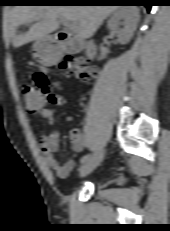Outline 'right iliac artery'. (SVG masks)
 Here are the masks:
<instances>
[{"instance_id":"1","label":"right iliac artery","mask_w":170,"mask_h":231,"mask_svg":"<svg viewBox=\"0 0 170 231\" xmlns=\"http://www.w3.org/2000/svg\"><path fill=\"white\" fill-rule=\"evenodd\" d=\"M90 158H91V155L88 154V155L83 156L80 161L82 164H85Z\"/></svg>"}]
</instances>
